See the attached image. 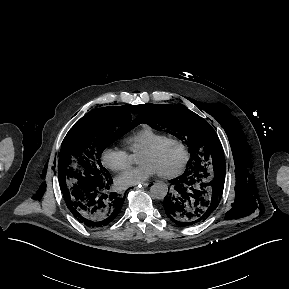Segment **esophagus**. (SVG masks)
Returning a JSON list of instances; mask_svg holds the SVG:
<instances>
[{
  "instance_id": "34e87169",
  "label": "esophagus",
  "mask_w": 289,
  "mask_h": 289,
  "mask_svg": "<svg viewBox=\"0 0 289 289\" xmlns=\"http://www.w3.org/2000/svg\"><path fill=\"white\" fill-rule=\"evenodd\" d=\"M142 187H148L149 186V183L148 182H143L140 184Z\"/></svg>"
}]
</instances>
